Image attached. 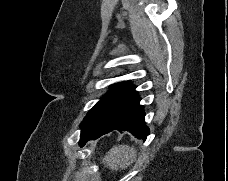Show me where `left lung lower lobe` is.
I'll use <instances>...</instances> for the list:
<instances>
[{"mask_svg":"<svg viewBox=\"0 0 228 181\" xmlns=\"http://www.w3.org/2000/svg\"><path fill=\"white\" fill-rule=\"evenodd\" d=\"M140 97L138 92L135 91L133 97L131 98L127 110L118 124L111 127H102L97 129H91L81 132V139L79 145L82 147L87 141L91 139H97L100 136L109 133L113 130L129 131L133 135L137 136L138 139L142 138L146 140V136L149 134V129L145 124V112L143 106L139 104Z\"/></svg>","mask_w":228,"mask_h":181,"instance_id":"1","label":"left lung lower lobe"}]
</instances>
